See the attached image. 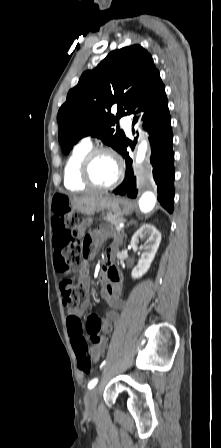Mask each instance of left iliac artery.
<instances>
[{
  "mask_svg": "<svg viewBox=\"0 0 221 448\" xmlns=\"http://www.w3.org/2000/svg\"><path fill=\"white\" fill-rule=\"evenodd\" d=\"M97 382H98V379H97V378L91 380V381L89 382V384H88V388L91 389V388L95 387V385L97 384Z\"/></svg>",
  "mask_w": 221,
  "mask_h": 448,
  "instance_id": "1",
  "label": "left iliac artery"
}]
</instances>
